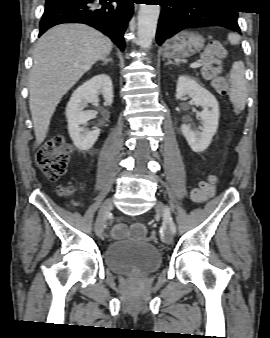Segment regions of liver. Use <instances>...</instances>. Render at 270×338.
Returning <instances> with one entry per match:
<instances>
[{"instance_id": "liver-1", "label": "liver", "mask_w": 270, "mask_h": 338, "mask_svg": "<svg viewBox=\"0 0 270 338\" xmlns=\"http://www.w3.org/2000/svg\"><path fill=\"white\" fill-rule=\"evenodd\" d=\"M112 47L108 37L83 24L57 25L41 36L29 77V107L37 144L46 138L62 97Z\"/></svg>"}]
</instances>
